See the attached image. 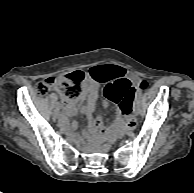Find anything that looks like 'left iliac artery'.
Here are the masks:
<instances>
[{
	"mask_svg": "<svg viewBox=\"0 0 194 193\" xmlns=\"http://www.w3.org/2000/svg\"><path fill=\"white\" fill-rule=\"evenodd\" d=\"M141 94V91L136 92V97Z\"/></svg>",
	"mask_w": 194,
	"mask_h": 193,
	"instance_id": "44dca946",
	"label": "left iliac artery"
}]
</instances>
